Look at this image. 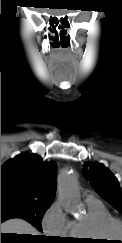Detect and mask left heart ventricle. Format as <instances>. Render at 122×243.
Instances as JSON below:
<instances>
[{
	"label": "left heart ventricle",
	"instance_id": "left-heart-ventricle-1",
	"mask_svg": "<svg viewBox=\"0 0 122 243\" xmlns=\"http://www.w3.org/2000/svg\"><path fill=\"white\" fill-rule=\"evenodd\" d=\"M113 236H122V230L119 228H114L111 232Z\"/></svg>",
	"mask_w": 122,
	"mask_h": 243
}]
</instances>
